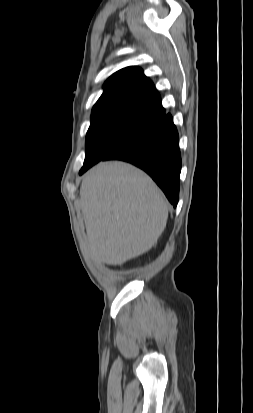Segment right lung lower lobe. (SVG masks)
Segmentation results:
<instances>
[{
    "instance_id": "obj_1",
    "label": "right lung lower lobe",
    "mask_w": 253,
    "mask_h": 413,
    "mask_svg": "<svg viewBox=\"0 0 253 413\" xmlns=\"http://www.w3.org/2000/svg\"><path fill=\"white\" fill-rule=\"evenodd\" d=\"M104 160H122L143 169L176 207L179 199L181 154L178 132L170 114L145 134L107 155L102 159ZM85 171H80L79 174Z\"/></svg>"
}]
</instances>
